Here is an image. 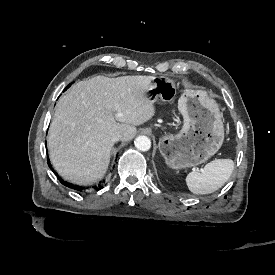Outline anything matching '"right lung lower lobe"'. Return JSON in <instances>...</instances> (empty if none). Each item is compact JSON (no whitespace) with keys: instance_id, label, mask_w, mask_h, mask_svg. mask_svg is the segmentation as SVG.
<instances>
[{"instance_id":"1","label":"right lung lower lobe","mask_w":275,"mask_h":275,"mask_svg":"<svg viewBox=\"0 0 275 275\" xmlns=\"http://www.w3.org/2000/svg\"><path fill=\"white\" fill-rule=\"evenodd\" d=\"M48 165H49V167L52 169L51 164H50V162H49V159H48ZM57 176H58V175H57ZM58 178H59V176H58ZM59 180H60V182H61L63 185H65V186H67V187H69V188H72V189H75V190H78V191H82V189H83V187L77 186V185H73V184H71V183H68V182H66V181H63L61 178H59ZM95 189H97V190L101 189L100 185H99L98 188L95 187Z\"/></svg>"}]
</instances>
